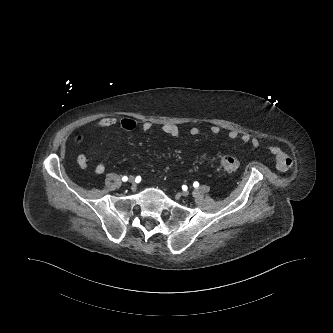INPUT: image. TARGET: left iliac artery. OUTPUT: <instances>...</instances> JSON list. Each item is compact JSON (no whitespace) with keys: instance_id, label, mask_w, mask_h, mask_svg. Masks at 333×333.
Masks as SVG:
<instances>
[{"instance_id":"obj_1","label":"left iliac artery","mask_w":333,"mask_h":333,"mask_svg":"<svg viewBox=\"0 0 333 333\" xmlns=\"http://www.w3.org/2000/svg\"><path fill=\"white\" fill-rule=\"evenodd\" d=\"M193 186H194L195 188H197V187L199 186V183H198L197 181H195V182L193 183Z\"/></svg>"}]
</instances>
